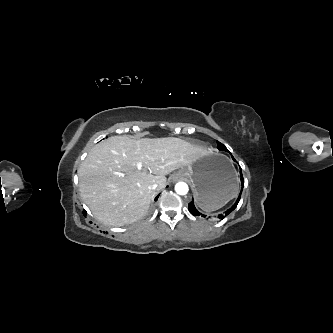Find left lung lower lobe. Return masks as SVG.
<instances>
[{"label": "left lung lower lobe", "mask_w": 333, "mask_h": 333, "mask_svg": "<svg viewBox=\"0 0 333 333\" xmlns=\"http://www.w3.org/2000/svg\"><path fill=\"white\" fill-rule=\"evenodd\" d=\"M233 160H234V159H233ZM240 174H241V183H242V189H243V186H244V179H243V176H242L241 169H240ZM241 192H242V190H241ZM240 198H241V193H240L239 197L237 198L236 202L234 203V205H233L230 209H228V210H226V211H224V212L218 214L216 217L219 218V219H224L225 216L229 215V214H230V213H231V212L237 207V205H238V203H239V201H240ZM188 209H189L190 213H191L192 215H194V216H202V217H206V215L201 214V213L195 208L193 200L188 204Z\"/></svg>", "instance_id": "left-lung-lower-lobe-1"}]
</instances>
